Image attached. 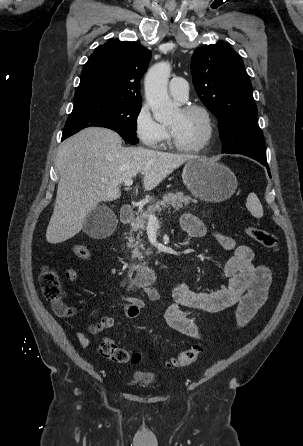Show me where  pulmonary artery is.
Returning a JSON list of instances; mask_svg holds the SVG:
<instances>
[{
	"label": "pulmonary artery",
	"mask_w": 303,
	"mask_h": 446,
	"mask_svg": "<svg viewBox=\"0 0 303 446\" xmlns=\"http://www.w3.org/2000/svg\"><path fill=\"white\" fill-rule=\"evenodd\" d=\"M188 90V82L182 77H174L169 82L170 95L179 101H185L188 98Z\"/></svg>",
	"instance_id": "e3ab8cb5"
}]
</instances>
